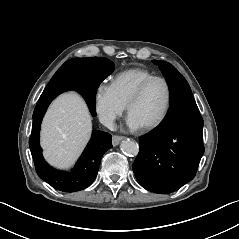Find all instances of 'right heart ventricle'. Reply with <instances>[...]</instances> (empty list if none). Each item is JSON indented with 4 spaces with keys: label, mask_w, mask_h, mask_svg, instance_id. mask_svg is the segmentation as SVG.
<instances>
[{
    "label": "right heart ventricle",
    "mask_w": 239,
    "mask_h": 239,
    "mask_svg": "<svg viewBox=\"0 0 239 239\" xmlns=\"http://www.w3.org/2000/svg\"><path fill=\"white\" fill-rule=\"evenodd\" d=\"M154 73L141 67H133L116 73L111 79V86L118 99L127 106L135 90Z\"/></svg>",
    "instance_id": "right-heart-ventricle-1"
}]
</instances>
